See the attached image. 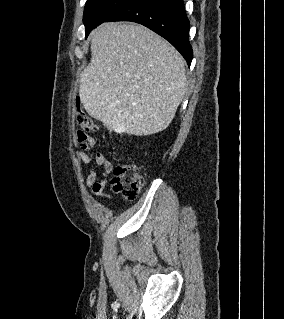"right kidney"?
Returning <instances> with one entry per match:
<instances>
[{
  "label": "right kidney",
  "mask_w": 284,
  "mask_h": 319,
  "mask_svg": "<svg viewBox=\"0 0 284 319\" xmlns=\"http://www.w3.org/2000/svg\"><path fill=\"white\" fill-rule=\"evenodd\" d=\"M115 131H116V132H121L122 130H121V129L116 128V129H115Z\"/></svg>",
  "instance_id": "ca27d5eb"
}]
</instances>
